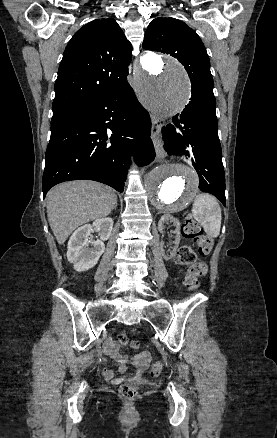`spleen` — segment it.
Here are the masks:
<instances>
[{
    "instance_id": "spleen-1",
    "label": "spleen",
    "mask_w": 277,
    "mask_h": 438,
    "mask_svg": "<svg viewBox=\"0 0 277 438\" xmlns=\"http://www.w3.org/2000/svg\"><path fill=\"white\" fill-rule=\"evenodd\" d=\"M193 218L202 224L207 236L217 238L221 228V208L213 196L198 194L192 208Z\"/></svg>"
}]
</instances>
